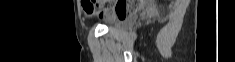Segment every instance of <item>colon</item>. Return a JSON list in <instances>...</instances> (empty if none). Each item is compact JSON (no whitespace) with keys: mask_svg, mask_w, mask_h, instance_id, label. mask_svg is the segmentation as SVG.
Listing matches in <instances>:
<instances>
[{"mask_svg":"<svg viewBox=\"0 0 235 62\" xmlns=\"http://www.w3.org/2000/svg\"><path fill=\"white\" fill-rule=\"evenodd\" d=\"M133 8L130 7V8H126V7H122V6H118L117 7V10H116V15L118 18H123L125 17V15L128 13L129 10H131Z\"/></svg>","mask_w":235,"mask_h":62,"instance_id":"5ec220e1","label":"colon"}]
</instances>
